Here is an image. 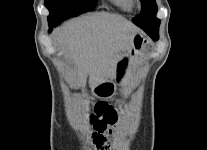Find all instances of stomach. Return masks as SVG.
<instances>
[{
  "instance_id": "obj_1",
  "label": "stomach",
  "mask_w": 207,
  "mask_h": 150,
  "mask_svg": "<svg viewBox=\"0 0 207 150\" xmlns=\"http://www.w3.org/2000/svg\"><path fill=\"white\" fill-rule=\"evenodd\" d=\"M145 42V37L140 33H136L133 37L130 50L123 54L116 63L115 77H117L120 83L124 81L127 64L136 59L142 53ZM115 88L116 83L108 80L93 87L92 94L99 98H108L115 91Z\"/></svg>"
}]
</instances>
